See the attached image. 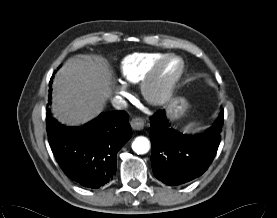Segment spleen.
<instances>
[{
  "mask_svg": "<svg viewBox=\"0 0 277 218\" xmlns=\"http://www.w3.org/2000/svg\"><path fill=\"white\" fill-rule=\"evenodd\" d=\"M194 127H195V123H190V124H188V125L184 128L183 133H187V134H188V133L193 132Z\"/></svg>",
  "mask_w": 277,
  "mask_h": 218,
  "instance_id": "obj_1",
  "label": "spleen"
}]
</instances>
